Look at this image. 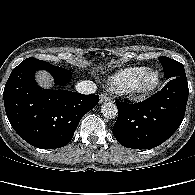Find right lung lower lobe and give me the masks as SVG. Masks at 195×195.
Returning <instances> with one entry per match:
<instances>
[{"label":"right lung lower lobe","mask_w":195,"mask_h":195,"mask_svg":"<svg viewBox=\"0 0 195 195\" xmlns=\"http://www.w3.org/2000/svg\"><path fill=\"white\" fill-rule=\"evenodd\" d=\"M39 69L29 59L12 70L3 92L5 111L26 142L41 149L60 148L71 141L83 115L98 104L99 95L42 89L34 79Z\"/></svg>","instance_id":"98d812e1"}]
</instances>
